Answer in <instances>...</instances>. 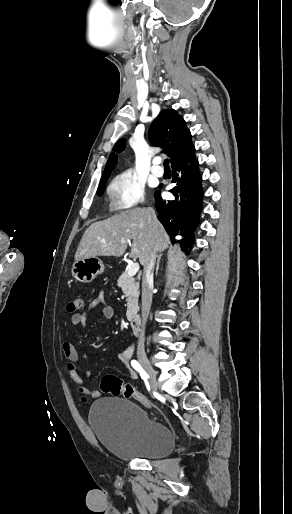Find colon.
Returning <instances> with one entry per match:
<instances>
[{
  "instance_id": "colon-1",
  "label": "colon",
  "mask_w": 292,
  "mask_h": 514,
  "mask_svg": "<svg viewBox=\"0 0 292 514\" xmlns=\"http://www.w3.org/2000/svg\"><path fill=\"white\" fill-rule=\"evenodd\" d=\"M83 307L84 298L81 295H77L68 303L67 310L70 313H75L81 311ZM100 388L106 393H111L114 397L123 396L127 399L133 398L136 402L147 408H153L155 406L150 398L135 391L134 384H126L122 379L112 374H106L101 378Z\"/></svg>"
}]
</instances>
